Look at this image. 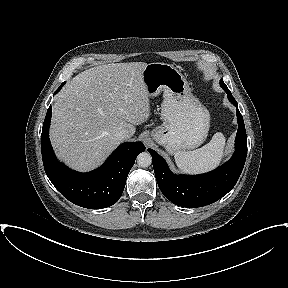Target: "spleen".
Returning <instances> with one entry per match:
<instances>
[{"label": "spleen", "mask_w": 288, "mask_h": 288, "mask_svg": "<svg viewBox=\"0 0 288 288\" xmlns=\"http://www.w3.org/2000/svg\"><path fill=\"white\" fill-rule=\"evenodd\" d=\"M225 137L217 132L211 141L193 151H178L174 158L178 168L189 174L204 173L219 165L223 157Z\"/></svg>", "instance_id": "1"}]
</instances>
